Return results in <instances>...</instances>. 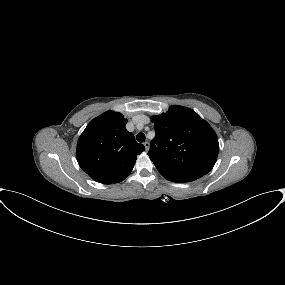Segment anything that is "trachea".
I'll return each mask as SVG.
<instances>
[{"label": "trachea", "mask_w": 285, "mask_h": 285, "mask_svg": "<svg viewBox=\"0 0 285 285\" xmlns=\"http://www.w3.org/2000/svg\"><path fill=\"white\" fill-rule=\"evenodd\" d=\"M136 139L138 142H144L146 139L145 134L144 133H138L136 136Z\"/></svg>", "instance_id": "obj_1"}]
</instances>
